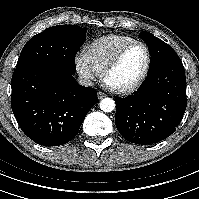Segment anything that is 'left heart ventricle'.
<instances>
[{
  "label": "left heart ventricle",
  "instance_id": "b2bd125f",
  "mask_svg": "<svg viewBox=\"0 0 199 199\" xmlns=\"http://www.w3.org/2000/svg\"><path fill=\"white\" fill-rule=\"evenodd\" d=\"M147 54L141 45H135L124 55L120 64L107 76L106 82L112 87H124L135 82L142 74Z\"/></svg>",
  "mask_w": 199,
  "mask_h": 199
}]
</instances>
